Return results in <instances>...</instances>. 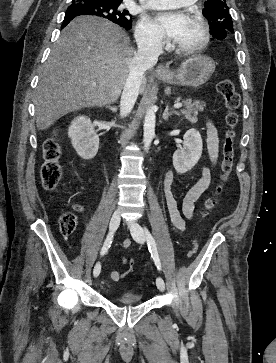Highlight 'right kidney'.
<instances>
[{"label":"right kidney","instance_id":"1","mask_svg":"<svg viewBox=\"0 0 276 363\" xmlns=\"http://www.w3.org/2000/svg\"><path fill=\"white\" fill-rule=\"evenodd\" d=\"M68 136L77 154L86 160L96 156L99 148V136L87 116L76 117L68 128Z\"/></svg>","mask_w":276,"mask_h":363}]
</instances>
